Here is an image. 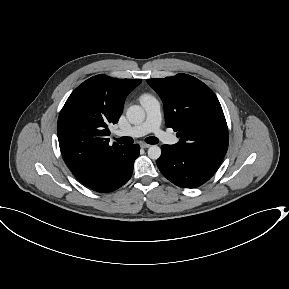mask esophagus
<instances>
[{
  "instance_id": "34e87169",
  "label": "esophagus",
  "mask_w": 289,
  "mask_h": 289,
  "mask_svg": "<svg viewBox=\"0 0 289 289\" xmlns=\"http://www.w3.org/2000/svg\"><path fill=\"white\" fill-rule=\"evenodd\" d=\"M140 146H141V148H149L151 145L146 144V143H142Z\"/></svg>"
}]
</instances>
